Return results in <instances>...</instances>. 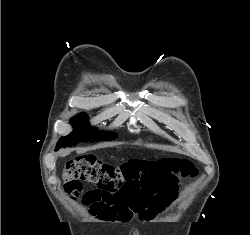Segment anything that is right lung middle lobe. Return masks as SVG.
<instances>
[{
  "label": "right lung middle lobe",
  "mask_w": 250,
  "mask_h": 235,
  "mask_svg": "<svg viewBox=\"0 0 250 235\" xmlns=\"http://www.w3.org/2000/svg\"><path fill=\"white\" fill-rule=\"evenodd\" d=\"M70 122L74 126V131L58 141L57 150L60 147L74 146L79 141H108L117 137V134L113 132L101 131L94 134L91 128H86L88 124V117L85 114L76 115Z\"/></svg>",
  "instance_id": "right-lung-middle-lobe-1"
}]
</instances>
